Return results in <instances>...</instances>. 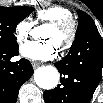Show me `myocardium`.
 <instances>
[{"mask_svg": "<svg viewBox=\"0 0 103 103\" xmlns=\"http://www.w3.org/2000/svg\"><path fill=\"white\" fill-rule=\"evenodd\" d=\"M58 30L66 31L67 36L63 43L58 48L61 51L68 50L76 38L77 24L72 18H64L50 22V25Z\"/></svg>", "mask_w": 103, "mask_h": 103, "instance_id": "1", "label": "myocardium"}]
</instances>
